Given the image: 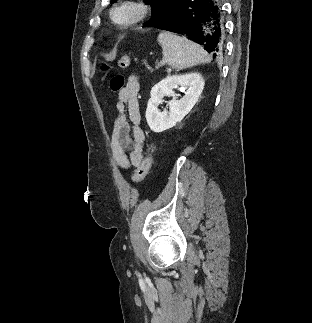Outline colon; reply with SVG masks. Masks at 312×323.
Returning <instances> with one entry per match:
<instances>
[{
	"instance_id": "colon-1",
	"label": "colon",
	"mask_w": 312,
	"mask_h": 323,
	"mask_svg": "<svg viewBox=\"0 0 312 323\" xmlns=\"http://www.w3.org/2000/svg\"><path fill=\"white\" fill-rule=\"evenodd\" d=\"M130 59L127 54H123L118 59V66L120 68L126 69L129 67ZM125 80L122 74H116L114 75L110 82L109 87L112 92L117 93L121 91L124 87ZM153 165V148L149 147L147 154L145 155V158L142 160V163L138 166L135 175L134 180L137 182L143 181L149 170L151 169Z\"/></svg>"
}]
</instances>
